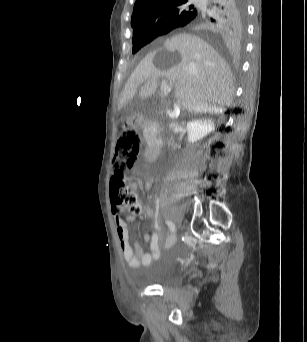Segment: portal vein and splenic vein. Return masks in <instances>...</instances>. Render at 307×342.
Wrapping results in <instances>:
<instances>
[{"label": "portal vein and splenic vein", "instance_id": "18ae733b", "mask_svg": "<svg viewBox=\"0 0 307 342\" xmlns=\"http://www.w3.org/2000/svg\"><path fill=\"white\" fill-rule=\"evenodd\" d=\"M167 84H168V81L166 79L159 80L157 88L159 90H163L164 93H171L172 92V87L171 86H166Z\"/></svg>", "mask_w": 307, "mask_h": 342}]
</instances>
